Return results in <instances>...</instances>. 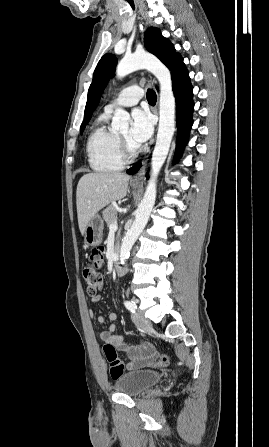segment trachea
<instances>
[{
  "mask_svg": "<svg viewBox=\"0 0 269 447\" xmlns=\"http://www.w3.org/2000/svg\"><path fill=\"white\" fill-rule=\"evenodd\" d=\"M147 100L151 105H155L156 103V94L153 90L147 91Z\"/></svg>",
  "mask_w": 269,
  "mask_h": 447,
  "instance_id": "3493384b",
  "label": "trachea"
}]
</instances>
